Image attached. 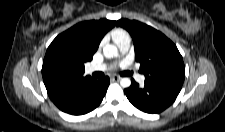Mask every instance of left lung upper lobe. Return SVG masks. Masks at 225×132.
I'll list each match as a JSON object with an SVG mask.
<instances>
[{"mask_svg":"<svg viewBox=\"0 0 225 132\" xmlns=\"http://www.w3.org/2000/svg\"><path fill=\"white\" fill-rule=\"evenodd\" d=\"M117 26L132 36L135 60L145 81L182 87L185 67L176 45L160 31L136 20L120 19Z\"/></svg>","mask_w":225,"mask_h":132,"instance_id":"obj_1","label":"left lung upper lobe"}]
</instances>
